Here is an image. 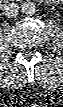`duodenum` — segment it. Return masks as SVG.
Listing matches in <instances>:
<instances>
[{
  "mask_svg": "<svg viewBox=\"0 0 63 107\" xmlns=\"http://www.w3.org/2000/svg\"><path fill=\"white\" fill-rule=\"evenodd\" d=\"M4 3L8 2V0H3Z\"/></svg>",
  "mask_w": 63,
  "mask_h": 107,
  "instance_id": "410a0bca",
  "label": "duodenum"
}]
</instances>
